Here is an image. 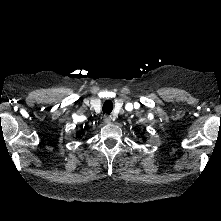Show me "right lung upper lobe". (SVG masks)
Segmentation results:
<instances>
[{"instance_id":"cb5924a9","label":"right lung upper lobe","mask_w":221,"mask_h":221,"mask_svg":"<svg viewBox=\"0 0 221 221\" xmlns=\"http://www.w3.org/2000/svg\"><path fill=\"white\" fill-rule=\"evenodd\" d=\"M82 133H83V131L78 132V133H77V137H78V138L81 137Z\"/></svg>"}]
</instances>
